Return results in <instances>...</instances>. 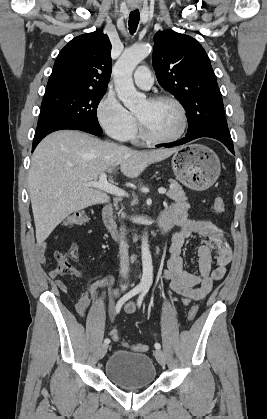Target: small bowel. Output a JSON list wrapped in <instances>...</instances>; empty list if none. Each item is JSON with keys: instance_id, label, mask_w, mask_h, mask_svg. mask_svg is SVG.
<instances>
[{"instance_id": "c3829d8e", "label": "small bowel", "mask_w": 267, "mask_h": 419, "mask_svg": "<svg viewBox=\"0 0 267 419\" xmlns=\"http://www.w3.org/2000/svg\"><path fill=\"white\" fill-rule=\"evenodd\" d=\"M189 204L187 202H176L172 204L163 216L169 218L174 225L180 227V231L172 237L170 246V258L167 268L162 276L169 282L171 291L175 295L182 297L183 304H188L191 300H201L212 290L215 281L221 280L226 274L227 265L232 258V251L226 241L223 230L209 220H194L188 217ZM197 235L202 238L196 247L198 255V272L191 273L184 269V260L181 256L185 242L192 236ZM78 244L74 243L70 250L71 257H77ZM215 253V266L212 267V253ZM35 255L37 260L48 266L50 277L56 279V285L63 293H67V285L60 279L61 274L56 268L49 266L46 257V245L40 243L36 246ZM82 274L76 272L73 278H80ZM114 277L107 276L95 280L86 288H81L79 298L75 305L76 312L81 318H85L90 307L91 299L102 300L116 293L113 289L111 293L101 289L113 287ZM127 312H134V305H126ZM111 310V307H109Z\"/></svg>"}]
</instances>
